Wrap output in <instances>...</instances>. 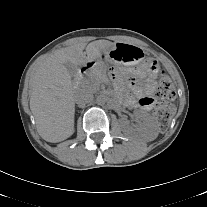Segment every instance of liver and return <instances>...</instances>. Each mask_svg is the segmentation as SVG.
Here are the masks:
<instances>
[{
  "label": "liver",
  "mask_w": 207,
  "mask_h": 207,
  "mask_svg": "<svg viewBox=\"0 0 207 207\" xmlns=\"http://www.w3.org/2000/svg\"><path fill=\"white\" fill-rule=\"evenodd\" d=\"M113 45L107 40H96L88 45L77 43L56 51L37 66L30 78V109L37 131L45 141L61 142L74 132L77 89L65 63L84 66L100 59Z\"/></svg>",
  "instance_id": "6515ba94"
}]
</instances>
